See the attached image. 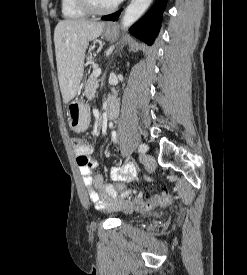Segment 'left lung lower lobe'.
<instances>
[{
  "mask_svg": "<svg viewBox=\"0 0 247 275\" xmlns=\"http://www.w3.org/2000/svg\"><path fill=\"white\" fill-rule=\"evenodd\" d=\"M165 5L166 0H156L145 16L129 29V32L133 36L143 40L146 44L152 45L160 29L162 13ZM120 12L121 10L114 14L104 16L101 19L116 21Z\"/></svg>",
  "mask_w": 247,
  "mask_h": 275,
  "instance_id": "0a47b994",
  "label": "left lung lower lobe"
}]
</instances>
